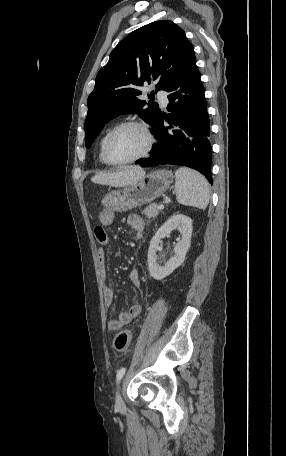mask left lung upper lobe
I'll return each instance as SVG.
<instances>
[{
  "instance_id": "left-lung-upper-lobe-1",
  "label": "left lung upper lobe",
  "mask_w": 286,
  "mask_h": 456,
  "mask_svg": "<svg viewBox=\"0 0 286 456\" xmlns=\"http://www.w3.org/2000/svg\"><path fill=\"white\" fill-rule=\"evenodd\" d=\"M196 59L184 31L169 20L155 21L131 32L110 53L88 97L85 121L86 145L104 125L123 113H140L151 125L161 115L157 103L140 100L139 86L157 81V90L167 86ZM154 96V92L149 95Z\"/></svg>"
}]
</instances>
